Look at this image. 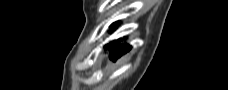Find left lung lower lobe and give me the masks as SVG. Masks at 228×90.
Returning a JSON list of instances; mask_svg holds the SVG:
<instances>
[{
    "label": "left lung lower lobe",
    "instance_id": "left-lung-lower-lobe-1",
    "mask_svg": "<svg viewBox=\"0 0 228 90\" xmlns=\"http://www.w3.org/2000/svg\"><path fill=\"white\" fill-rule=\"evenodd\" d=\"M117 25V23H114L111 28H114ZM105 48L111 49V55L110 59L112 61H117L119 58H121L126 52H128L131 49V46L124 44V45H118V41H112L109 44L105 45Z\"/></svg>",
    "mask_w": 228,
    "mask_h": 90
}]
</instances>
